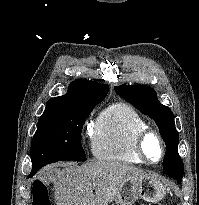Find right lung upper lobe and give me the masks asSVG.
Wrapping results in <instances>:
<instances>
[{
  "label": "right lung upper lobe",
  "instance_id": "cb5924a9",
  "mask_svg": "<svg viewBox=\"0 0 199 205\" xmlns=\"http://www.w3.org/2000/svg\"><path fill=\"white\" fill-rule=\"evenodd\" d=\"M107 93L108 85L79 79L70 83L65 95L49 99L45 110L83 100H103Z\"/></svg>",
  "mask_w": 199,
  "mask_h": 205
}]
</instances>
